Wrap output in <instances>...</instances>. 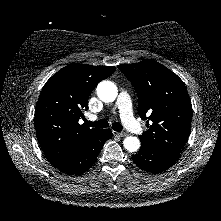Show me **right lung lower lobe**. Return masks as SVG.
<instances>
[{"label": "right lung lower lobe", "mask_w": 221, "mask_h": 221, "mask_svg": "<svg viewBox=\"0 0 221 221\" xmlns=\"http://www.w3.org/2000/svg\"><path fill=\"white\" fill-rule=\"evenodd\" d=\"M111 136V130H100L88 139L71 158L56 168L63 173L74 175L82 174L95 163L104 143L110 139Z\"/></svg>", "instance_id": "obj_1"}]
</instances>
